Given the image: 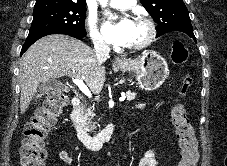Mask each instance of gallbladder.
Instances as JSON below:
<instances>
[{
  "label": "gallbladder",
  "mask_w": 227,
  "mask_h": 166,
  "mask_svg": "<svg viewBox=\"0 0 227 166\" xmlns=\"http://www.w3.org/2000/svg\"><path fill=\"white\" fill-rule=\"evenodd\" d=\"M53 88H60L62 90H67V87L61 84L60 82L50 79L45 82H41L38 86V97L46 94L49 90Z\"/></svg>",
  "instance_id": "obj_1"
}]
</instances>
